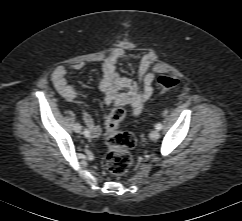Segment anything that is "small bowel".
Instances as JSON below:
<instances>
[{
  "mask_svg": "<svg viewBox=\"0 0 242 221\" xmlns=\"http://www.w3.org/2000/svg\"><path fill=\"white\" fill-rule=\"evenodd\" d=\"M124 52L125 47L119 46L114 48L105 58L101 68L100 89L108 106H129L133 114L138 115L153 94L155 75L149 71L151 59L146 56L139 63L137 80L121 76L117 71V62ZM83 67L84 64L81 62L67 64L58 67L52 74V81L56 90L67 101L75 102L77 92L68 84L66 76L70 71H78ZM82 118L90 129L92 137H98L101 130L94 123L92 117L87 112L82 111Z\"/></svg>",
  "mask_w": 242,
  "mask_h": 221,
  "instance_id": "1",
  "label": "small bowel"
}]
</instances>
